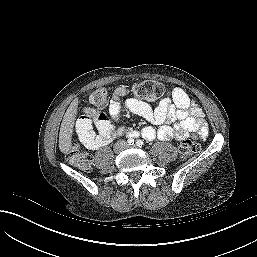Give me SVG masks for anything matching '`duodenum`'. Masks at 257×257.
<instances>
[{"label": "duodenum", "mask_w": 257, "mask_h": 257, "mask_svg": "<svg viewBox=\"0 0 257 257\" xmlns=\"http://www.w3.org/2000/svg\"><path fill=\"white\" fill-rule=\"evenodd\" d=\"M131 134L134 135V134H136V133H135V132H132Z\"/></svg>", "instance_id": "duodenum-1"}]
</instances>
